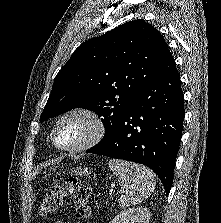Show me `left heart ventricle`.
Segmentation results:
<instances>
[{
	"label": "left heart ventricle",
	"instance_id": "1",
	"mask_svg": "<svg viewBox=\"0 0 221 223\" xmlns=\"http://www.w3.org/2000/svg\"><path fill=\"white\" fill-rule=\"evenodd\" d=\"M92 125L81 115H73L63 120L56 132L59 145L71 146L84 141L90 134Z\"/></svg>",
	"mask_w": 221,
	"mask_h": 223
}]
</instances>
